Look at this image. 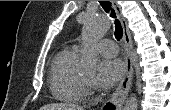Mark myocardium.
<instances>
[{"label":"myocardium","instance_id":"myocardium-1","mask_svg":"<svg viewBox=\"0 0 171 110\" xmlns=\"http://www.w3.org/2000/svg\"><path fill=\"white\" fill-rule=\"evenodd\" d=\"M81 85L83 87V90L86 95H89L92 93V84L88 81H86L83 77L80 78Z\"/></svg>","mask_w":171,"mask_h":110}]
</instances>
